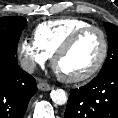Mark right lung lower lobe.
I'll use <instances>...</instances> for the list:
<instances>
[{
    "label": "right lung lower lobe",
    "mask_w": 118,
    "mask_h": 118,
    "mask_svg": "<svg viewBox=\"0 0 118 118\" xmlns=\"http://www.w3.org/2000/svg\"><path fill=\"white\" fill-rule=\"evenodd\" d=\"M36 91L35 79L18 66L15 55L0 53V118H23Z\"/></svg>",
    "instance_id": "98d812e1"
}]
</instances>
